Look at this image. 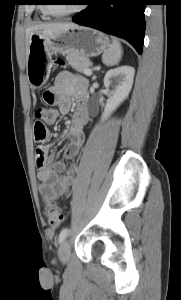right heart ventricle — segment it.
<instances>
[{
	"label": "right heart ventricle",
	"mask_w": 181,
	"mask_h": 300,
	"mask_svg": "<svg viewBox=\"0 0 181 300\" xmlns=\"http://www.w3.org/2000/svg\"><path fill=\"white\" fill-rule=\"evenodd\" d=\"M40 13H41V18L43 20H50L51 19V16L46 12L45 7L42 6L40 8Z\"/></svg>",
	"instance_id": "e07e8e85"
}]
</instances>
